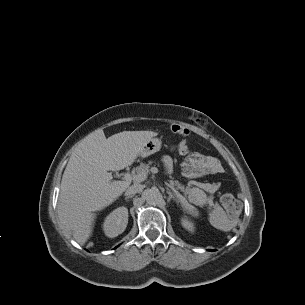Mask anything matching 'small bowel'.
<instances>
[{
  "mask_svg": "<svg viewBox=\"0 0 305 305\" xmlns=\"http://www.w3.org/2000/svg\"><path fill=\"white\" fill-rule=\"evenodd\" d=\"M177 150L182 155L188 153V148L186 145L181 146L179 144L177 147ZM195 156L198 160L199 166L206 172L214 174V173H218L220 171V165L216 159H214L212 157H205L200 154H196ZM162 163L168 173L172 171L173 161L170 156L165 155L162 158Z\"/></svg>",
  "mask_w": 305,
  "mask_h": 305,
  "instance_id": "c3829d8e",
  "label": "small bowel"
}]
</instances>
